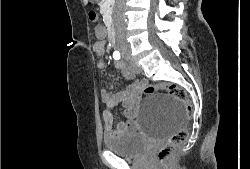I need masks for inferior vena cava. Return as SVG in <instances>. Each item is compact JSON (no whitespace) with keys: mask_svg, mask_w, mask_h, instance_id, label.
I'll use <instances>...</instances> for the list:
<instances>
[{"mask_svg":"<svg viewBox=\"0 0 250 169\" xmlns=\"http://www.w3.org/2000/svg\"><path fill=\"white\" fill-rule=\"evenodd\" d=\"M124 4L125 0H115L112 20L116 32H119V30H126Z\"/></svg>","mask_w":250,"mask_h":169,"instance_id":"inferior-vena-cava-1","label":"inferior vena cava"}]
</instances>
